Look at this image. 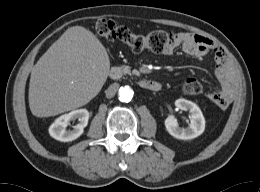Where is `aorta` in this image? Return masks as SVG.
I'll return each mask as SVG.
<instances>
[{
  "label": "aorta",
  "mask_w": 260,
  "mask_h": 192,
  "mask_svg": "<svg viewBox=\"0 0 260 192\" xmlns=\"http://www.w3.org/2000/svg\"><path fill=\"white\" fill-rule=\"evenodd\" d=\"M133 98V90L129 86H124L119 89V100L129 102Z\"/></svg>",
  "instance_id": "aorta-1"
}]
</instances>
